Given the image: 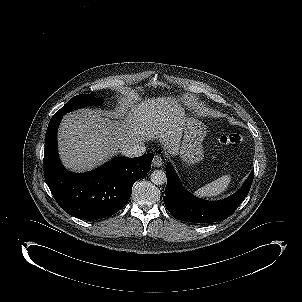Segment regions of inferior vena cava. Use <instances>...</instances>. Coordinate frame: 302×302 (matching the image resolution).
Masks as SVG:
<instances>
[{
    "label": "inferior vena cava",
    "instance_id": "inferior-vena-cava-1",
    "mask_svg": "<svg viewBox=\"0 0 302 302\" xmlns=\"http://www.w3.org/2000/svg\"><path fill=\"white\" fill-rule=\"evenodd\" d=\"M146 152L144 144H136L134 146H127L121 150V153L129 158L142 156Z\"/></svg>",
    "mask_w": 302,
    "mask_h": 302
}]
</instances>
